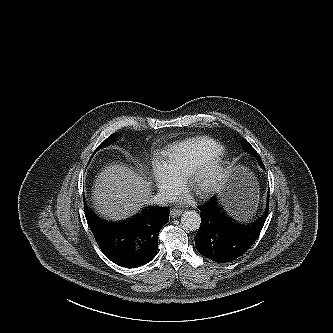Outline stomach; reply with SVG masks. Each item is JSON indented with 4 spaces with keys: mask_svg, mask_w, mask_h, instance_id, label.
I'll use <instances>...</instances> for the list:
<instances>
[{
    "mask_svg": "<svg viewBox=\"0 0 333 333\" xmlns=\"http://www.w3.org/2000/svg\"><path fill=\"white\" fill-rule=\"evenodd\" d=\"M221 197L228 215L237 222H246L257 211L261 189L246 167L234 165L229 169Z\"/></svg>",
    "mask_w": 333,
    "mask_h": 333,
    "instance_id": "1",
    "label": "stomach"
}]
</instances>
